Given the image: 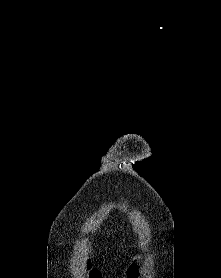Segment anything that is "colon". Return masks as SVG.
I'll use <instances>...</instances> for the list:
<instances>
[{
	"mask_svg": "<svg viewBox=\"0 0 221 278\" xmlns=\"http://www.w3.org/2000/svg\"><path fill=\"white\" fill-rule=\"evenodd\" d=\"M85 276L86 278H102L101 273L90 264H87L85 267Z\"/></svg>",
	"mask_w": 221,
	"mask_h": 278,
	"instance_id": "obj_1",
	"label": "colon"
}]
</instances>
